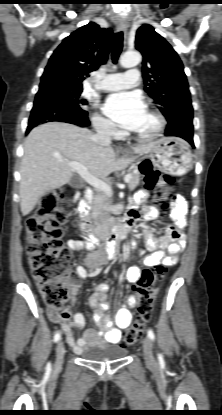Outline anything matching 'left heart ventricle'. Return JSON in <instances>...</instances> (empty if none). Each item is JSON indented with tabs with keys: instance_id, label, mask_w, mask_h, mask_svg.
<instances>
[{
	"instance_id": "1",
	"label": "left heart ventricle",
	"mask_w": 222,
	"mask_h": 415,
	"mask_svg": "<svg viewBox=\"0 0 222 415\" xmlns=\"http://www.w3.org/2000/svg\"><path fill=\"white\" fill-rule=\"evenodd\" d=\"M156 125V119L145 109L144 113L131 131L140 134H149L156 128Z\"/></svg>"
}]
</instances>
